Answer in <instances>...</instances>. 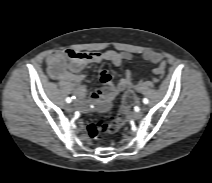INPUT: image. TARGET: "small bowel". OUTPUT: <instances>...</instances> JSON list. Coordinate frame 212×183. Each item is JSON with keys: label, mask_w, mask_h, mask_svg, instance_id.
<instances>
[{"label": "small bowel", "mask_w": 212, "mask_h": 183, "mask_svg": "<svg viewBox=\"0 0 212 183\" xmlns=\"http://www.w3.org/2000/svg\"><path fill=\"white\" fill-rule=\"evenodd\" d=\"M144 60L157 66L154 73L162 75L165 71V61L161 54L153 51L145 52ZM132 59L129 52H117L106 50L103 52H81L73 49L58 51L50 54L47 58L49 74L52 78L71 84L74 87L78 106L85 110L88 107L86 100V87L81 84L84 75L80 72L89 64L110 62L115 66H120L124 61ZM100 80L103 84L101 89H96L90 94V100L94 103L101 99L111 100L126 88L138 87L135 85L132 73L126 71L124 77L116 81L113 74L108 71H101Z\"/></svg>", "instance_id": "c3829d8e"}]
</instances>
